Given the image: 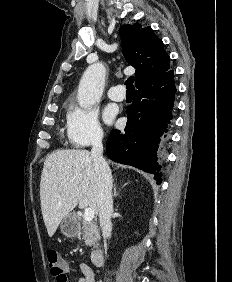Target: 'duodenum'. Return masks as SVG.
Wrapping results in <instances>:
<instances>
[{
    "label": "duodenum",
    "mask_w": 232,
    "mask_h": 282,
    "mask_svg": "<svg viewBox=\"0 0 232 282\" xmlns=\"http://www.w3.org/2000/svg\"><path fill=\"white\" fill-rule=\"evenodd\" d=\"M91 261L95 266H102L104 257L101 248H95L91 253Z\"/></svg>",
    "instance_id": "410a0bca"
}]
</instances>
